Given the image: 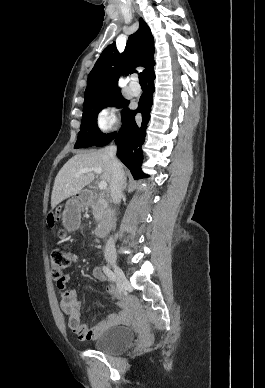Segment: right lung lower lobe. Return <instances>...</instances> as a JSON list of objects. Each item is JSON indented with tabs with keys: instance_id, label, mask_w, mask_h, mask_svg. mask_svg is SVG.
<instances>
[{
	"instance_id": "right-lung-lower-lobe-1",
	"label": "right lung lower lobe",
	"mask_w": 265,
	"mask_h": 388,
	"mask_svg": "<svg viewBox=\"0 0 265 388\" xmlns=\"http://www.w3.org/2000/svg\"><path fill=\"white\" fill-rule=\"evenodd\" d=\"M154 79L155 74L148 78V89L142 94L138 108L129 111L121 129L114 138L118 145V158L129 168L135 179L147 177L141 170L143 160L141 146L144 143L146 128L150 119ZM138 112L142 114V123L140 125L135 121V115Z\"/></svg>"
}]
</instances>
